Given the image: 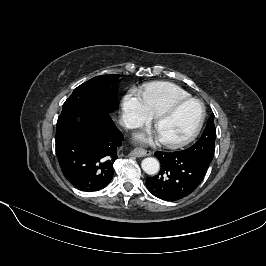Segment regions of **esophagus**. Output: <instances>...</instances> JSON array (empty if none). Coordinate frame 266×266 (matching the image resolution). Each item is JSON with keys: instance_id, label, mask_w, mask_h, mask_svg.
<instances>
[{"instance_id": "1", "label": "esophagus", "mask_w": 266, "mask_h": 266, "mask_svg": "<svg viewBox=\"0 0 266 266\" xmlns=\"http://www.w3.org/2000/svg\"><path fill=\"white\" fill-rule=\"evenodd\" d=\"M130 155L135 156V157H144V156L151 155V152L147 150H142V149H134L130 152Z\"/></svg>"}]
</instances>
